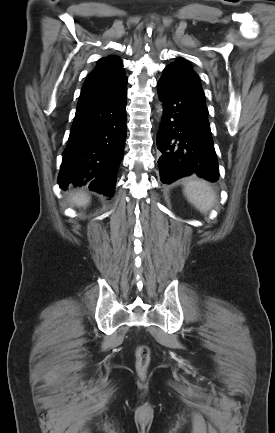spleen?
<instances>
[{"label":"spleen","instance_id":"obj_1","mask_svg":"<svg viewBox=\"0 0 275 433\" xmlns=\"http://www.w3.org/2000/svg\"><path fill=\"white\" fill-rule=\"evenodd\" d=\"M184 194L200 212L208 211L215 201L214 192L205 181L188 182L184 188Z\"/></svg>","mask_w":275,"mask_h":433}]
</instances>
